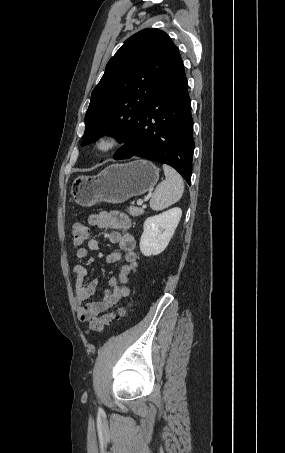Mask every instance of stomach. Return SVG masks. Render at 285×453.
I'll return each instance as SVG.
<instances>
[{"mask_svg":"<svg viewBox=\"0 0 285 453\" xmlns=\"http://www.w3.org/2000/svg\"><path fill=\"white\" fill-rule=\"evenodd\" d=\"M159 179V169L150 161L135 160L112 164L95 176H78L72 184V196L79 205L98 202L120 204L133 196L150 191Z\"/></svg>","mask_w":285,"mask_h":453,"instance_id":"obj_1","label":"stomach"}]
</instances>
